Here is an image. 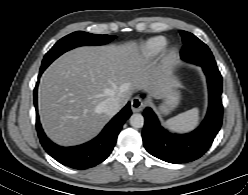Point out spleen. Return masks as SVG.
<instances>
[{
    "label": "spleen",
    "mask_w": 248,
    "mask_h": 195,
    "mask_svg": "<svg viewBox=\"0 0 248 195\" xmlns=\"http://www.w3.org/2000/svg\"><path fill=\"white\" fill-rule=\"evenodd\" d=\"M199 123V109L193 108L166 121L165 126L173 132H188Z\"/></svg>",
    "instance_id": "1"
}]
</instances>
